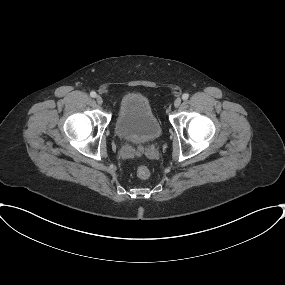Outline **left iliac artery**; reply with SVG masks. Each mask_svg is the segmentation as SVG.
Listing matches in <instances>:
<instances>
[{
	"instance_id": "1",
	"label": "left iliac artery",
	"mask_w": 285,
	"mask_h": 285,
	"mask_svg": "<svg viewBox=\"0 0 285 285\" xmlns=\"http://www.w3.org/2000/svg\"><path fill=\"white\" fill-rule=\"evenodd\" d=\"M188 97H189V95H188L187 93H184V94L182 95V99H183V100H187Z\"/></svg>"
}]
</instances>
